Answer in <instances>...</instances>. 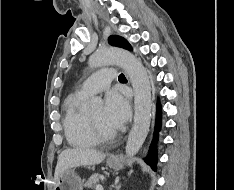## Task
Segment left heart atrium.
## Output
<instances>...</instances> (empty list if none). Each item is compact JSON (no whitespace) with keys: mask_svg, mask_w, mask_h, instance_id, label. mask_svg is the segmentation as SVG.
<instances>
[{"mask_svg":"<svg viewBox=\"0 0 234 190\" xmlns=\"http://www.w3.org/2000/svg\"><path fill=\"white\" fill-rule=\"evenodd\" d=\"M104 116L109 126L114 129L121 128L130 116V105L127 97L116 91L107 93Z\"/></svg>","mask_w":234,"mask_h":190,"instance_id":"left-heart-atrium-1","label":"left heart atrium"}]
</instances>
